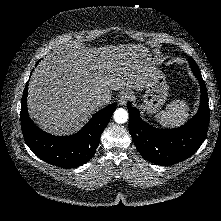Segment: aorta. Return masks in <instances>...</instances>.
<instances>
[{"mask_svg": "<svg viewBox=\"0 0 221 221\" xmlns=\"http://www.w3.org/2000/svg\"><path fill=\"white\" fill-rule=\"evenodd\" d=\"M113 117L116 123L123 124L128 120V112L123 108H119L115 110Z\"/></svg>", "mask_w": 221, "mask_h": 221, "instance_id": "aorta-1", "label": "aorta"}]
</instances>
